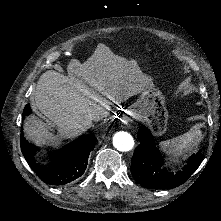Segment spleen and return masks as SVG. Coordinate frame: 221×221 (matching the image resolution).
Returning a JSON list of instances; mask_svg holds the SVG:
<instances>
[{
	"instance_id": "spleen-1",
	"label": "spleen",
	"mask_w": 221,
	"mask_h": 221,
	"mask_svg": "<svg viewBox=\"0 0 221 221\" xmlns=\"http://www.w3.org/2000/svg\"><path fill=\"white\" fill-rule=\"evenodd\" d=\"M201 137L202 130L195 129L180 137L161 141L159 147L168 158L182 160L188 152L192 151L202 141Z\"/></svg>"
}]
</instances>
